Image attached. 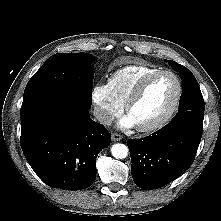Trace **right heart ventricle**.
Returning <instances> with one entry per match:
<instances>
[{
  "label": "right heart ventricle",
  "mask_w": 221,
  "mask_h": 221,
  "mask_svg": "<svg viewBox=\"0 0 221 221\" xmlns=\"http://www.w3.org/2000/svg\"><path fill=\"white\" fill-rule=\"evenodd\" d=\"M157 70L160 68L146 64L126 65L110 75L107 85L114 98L123 106L138 82Z\"/></svg>",
  "instance_id": "right-heart-ventricle-1"
}]
</instances>
